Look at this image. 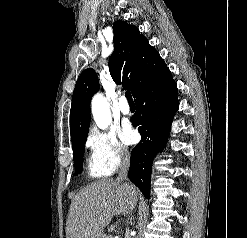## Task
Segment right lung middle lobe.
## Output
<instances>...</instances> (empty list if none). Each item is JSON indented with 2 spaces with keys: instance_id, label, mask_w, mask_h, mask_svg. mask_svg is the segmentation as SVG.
<instances>
[{
  "instance_id": "obj_1",
  "label": "right lung middle lobe",
  "mask_w": 247,
  "mask_h": 238,
  "mask_svg": "<svg viewBox=\"0 0 247 238\" xmlns=\"http://www.w3.org/2000/svg\"><path fill=\"white\" fill-rule=\"evenodd\" d=\"M87 136L80 139L76 143L72 144L73 148V154H74V166L75 171L77 174L82 172L83 168V154L85 151V142H86Z\"/></svg>"
}]
</instances>
